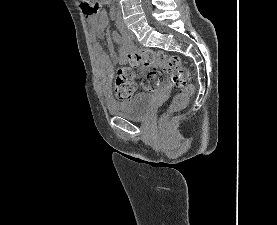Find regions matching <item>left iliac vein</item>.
<instances>
[{
	"label": "left iliac vein",
	"mask_w": 277,
	"mask_h": 225,
	"mask_svg": "<svg viewBox=\"0 0 277 225\" xmlns=\"http://www.w3.org/2000/svg\"><path fill=\"white\" fill-rule=\"evenodd\" d=\"M129 37H130V38H132L133 36H132V35H130Z\"/></svg>",
	"instance_id": "1"
}]
</instances>
